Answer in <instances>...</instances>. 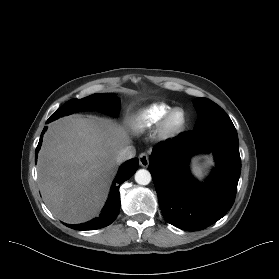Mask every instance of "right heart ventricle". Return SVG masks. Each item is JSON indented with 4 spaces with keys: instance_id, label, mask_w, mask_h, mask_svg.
<instances>
[{
    "instance_id": "e07e8e85",
    "label": "right heart ventricle",
    "mask_w": 279,
    "mask_h": 279,
    "mask_svg": "<svg viewBox=\"0 0 279 279\" xmlns=\"http://www.w3.org/2000/svg\"><path fill=\"white\" fill-rule=\"evenodd\" d=\"M172 107L166 103H154L143 109L134 120L137 129L144 131L151 129L161 122L164 115Z\"/></svg>"
}]
</instances>
